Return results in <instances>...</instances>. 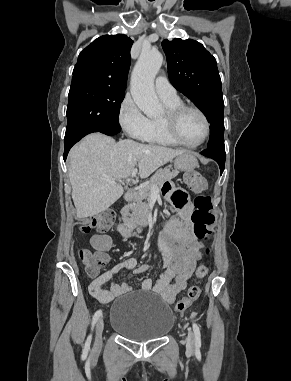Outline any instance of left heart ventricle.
<instances>
[{
	"instance_id": "1",
	"label": "left heart ventricle",
	"mask_w": 291,
	"mask_h": 381,
	"mask_svg": "<svg viewBox=\"0 0 291 381\" xmlns=\"http://www.w3.org/2000/svg\"><path fill=\"white\" fill-rule=\"evenodd\" d=\"M205 131V125L201 116L194 111L185 112L178 121L180 137L187 143L199 142Z\"/></svg>"
}]
</instances>
